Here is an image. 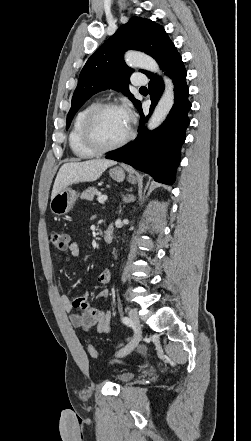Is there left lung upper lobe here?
Masks as SVG:
<instances>
[{
	"label": "left lung upper lobe",
	"instance_id": "obj_1",
	"mask_svg": "<svg viewBox=\"0 0 251 441\" xmlns=\"http://www.w3.org/2000/svg\"><path fill=\"white\" fill-rule=\"evenodd\" d=\"M173 46L164 28L150 19L132 17L120 26L115 34L90 56L83 67L67 115L66 129L80 107L92 95L102 90L122 91L137 107L140 101L134 98L128 88L132 69L125 64L123 53L128 49L143 51L161 66ZM141 72L149 78L153 75L145 70Z\"/></svg>",
	"mask_w": 251,
	"mask_h": 441
}]
</instances>
